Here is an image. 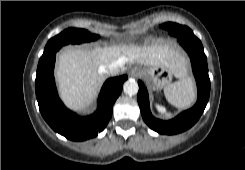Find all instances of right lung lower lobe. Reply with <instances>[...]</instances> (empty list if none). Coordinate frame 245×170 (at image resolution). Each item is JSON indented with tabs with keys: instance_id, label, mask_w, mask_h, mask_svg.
<instances>
[{
	"instance_id": "98d812e1",
	"label": "right lung lower lobe",
	"mask_w": 245,
	"mask_h": 170,
	"mask_svg": "<svg viewBox=\"0 0 245 170\" xmlns=\"http://www.w3.org/2000/svg\"><path fill=\"white\" fill-rule=\"evenodd\" d=\"M58 49L43 55L39 60L35 86L40 112L51 128L67 139L83 141L96 137L108 124L127 75L108 79L100 92L96 112L79 117L64 106L56 91L53 71Z\"/></svg>"
}]
</instances>
